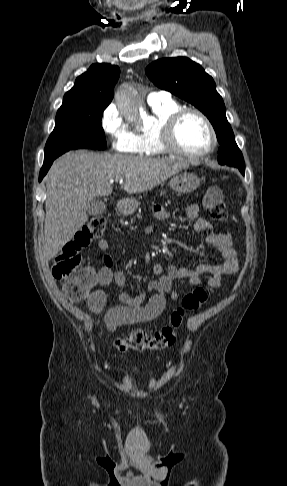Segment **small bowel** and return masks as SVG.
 Listing matches in <instances>:
<instances>
[{
    "label": "small bowel",
    "instance_id": "1",
    "mask_svg": "<svg viewBox=\"0 0 287 486\" xmlns=\"http://www.w3.org/2000/svg\"><path fill=\"white\" fill-rule=\"evenodd\" d=\"M152 216L158 220H165L171 217V213L164 207L156 205L152 210ZM186 217L194 221V229L197 232L209 231L212 228L210 222L199 215V207L195 204L186 208ZM145 232L152 233L153 228L148 226L145 228ZM206 241L220 253L222 257L220 263H200L194 269L154 264L152 273L156 279L148 284V291L151 292V295L140 293L132 296L122 292L119 295L121 305L109 309L105 314V324L108 330L114 331L119 326L141 324L156 319L163 312L167 297L171 300L179 298V292L174 288L176 280L184 279L191 286H200L202 275L209 274L208 285L217 288L220 286L222 277L236 274L239 271V259L233 247L232 234L229 231L211 232ZM98 248L104 252L103 266L97 272L95 282L100 288L90 294L87 302L89 309L96 314L103 311L108 300V293L103 287L110 284L123 287L126 283L125 274L114 268L113 259L107 253L108 240H100Z\"/></svg>",
    "mask_w": 287,
    "mask_h": 486
}]
</instances>
